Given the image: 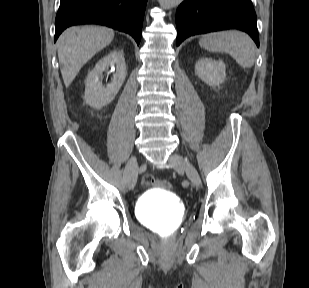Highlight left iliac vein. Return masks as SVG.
<instances>
[{"label": "left iliac vein", "mask_w": 309, "mask_h": 288, "mask_svg": "<svg viewBox=\"0 0 309 288\" xmlns=\"http://www.w3.org/2000/svg\"><path fill=\"white\" fill-rule=\"evenodd\" d=\"M170 161L173 163V167L176 171L185 170L189 180L193 183V185H200L199 173L191 162L185 160L182 156L177 154H172Z\"/></svg>", "instance_id": "1"}]
</instances>
